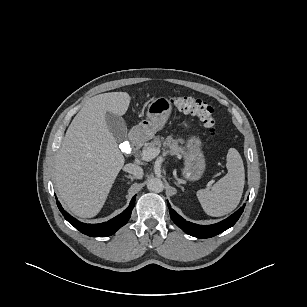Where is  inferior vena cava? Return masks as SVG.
I'll list each match as a JSON object with an SVG mask.
<instances>
[{
    "mask_svg": "<svg viewBox=\"0 0 307 307\" xmlns=\"http://www.w3.org/2000/svg\"><path fill=\"white\" fill-rule=\"evenodd\" d=\"M125 172L133 174L135 178L141 179L143 177V169L135 164H126L123 168Z\"/></svg>",
    "mask_w": 307,
    "mask_h": 307,
    "instance_id": "inferior-vena-cava-1",
    "label": "inferior vena cava"
}]
</instances>
